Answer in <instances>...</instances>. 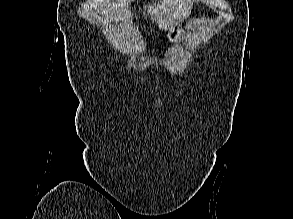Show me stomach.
<instances>
[{"mask_svg":"<svg viewBox=\"0 0 293 219\" xmlns=\"http://www.w3.org/2000/svg\"><path fill=\"white\" fill-rule=\"evenodd\" d=\"M183 28L180 23L173 25L168 33V41L170 43H178L182 40Z\"/></svg>","mask_w":293,"mask_h":219,"instance_id":"0dacf381","label":"stomach"}]
</instances>
